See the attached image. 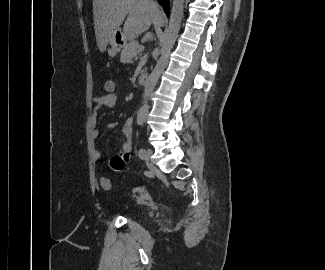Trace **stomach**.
Returning a JSON list of instances; mask_svg holds the SVG:
<instances>
[{
    "mask_svg": "<svg viewBox=\"0 0 325 270\" xmlns=\"http://www.w3.org/2000/svg\"><path fill=\"white\" fill-rule=\"evenodd\" d=\"M128 40L125 38L124 33L121 31H116L114 36L111 38L110 48L108 49V54L110 56H115L121 48L126 44Z\"/></svg>",
    "mask_w": 325,
    "mask_h": 270,
    "instance_id": "0dacf381",
    "label": "stomach"
}]
</instances>
